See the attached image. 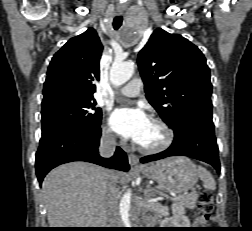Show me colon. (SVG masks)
<instances>
[{
  "label": "colon",
  "mask_w": 252,
  "mask_h": 231,
  "mask_svg": "<svg viewBox=\"0 0 252 231\" xmlns=\"http://www.w3.org/2000/svg\"><path fill=\"white\" fill-rule=\"evenodd\" d=\"M200 216L206 222L210 219L213 211V195L209 190H203L197 200Z\"/></svg>",
  "instance_id": "obj_1"
}]
</instances>
